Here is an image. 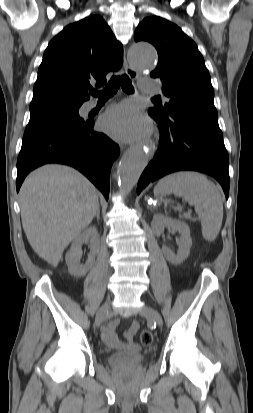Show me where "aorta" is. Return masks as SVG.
Here are the masks:
<instances>
[{
  "label": "aorta",
  "mask_w": 253,
  "mask_h": 413,
  "mask_svg": "<svg viewBox=\"0 0 253 413\" xmlns=\"http://www.w3.org/2000/svg\"><path fill=\"white\" fill-rule=\"evenodd\" d=\"M129 58L136 70L146 71L154 68L157 53L151 44L136 42L130 47ZM148 160L149 147L147 144L134 146L125 153L119 164L118 183L121 192L128 193L132 190Z\"/></svg>",
  "instance_id": "1"
}]
</instances>
